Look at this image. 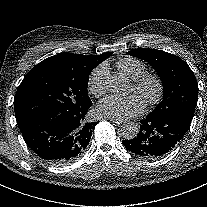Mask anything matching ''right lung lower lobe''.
I'll return each instance as SVG.
<instances>
[{
  "label": "right lung lower lobe",
  "mask_w": 207,
  "mask_h": 207,
  "mask_svg": "<svg viewBox=\"0 0 207 207\" xmlns=\"http://www.w3.org/2000/svg\"><path fill=\"white\" fill-rule=\"evenodd\" d=\"M87 111L71 117L45 112L23 118L17 124L37 156L49 164L65 165L84 153L98 123L88 121Z\"/></svg>",
  "instance_id": "1"
}]
</instances>
